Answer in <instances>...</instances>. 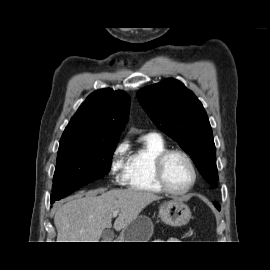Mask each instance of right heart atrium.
<instances>
[{
    "instance_id": "right-heart-atrium-1",
    "label": "right heart atrium",
    "mask_w": 270,
    "mask_h": 270,
    "mask_svg": "<svg viewBox=\"0 0 270 270\" xmlns=\"http://www.w3.org/2000/svg\"><path fill=\"white\" fill-rule=\"evenodd\" d=\"M128 150V142L122 141L113 149L109 161V171L113 182L117 185L125 183L127 170V159L125 157Z\"/></svg>"
}]
</instances>
